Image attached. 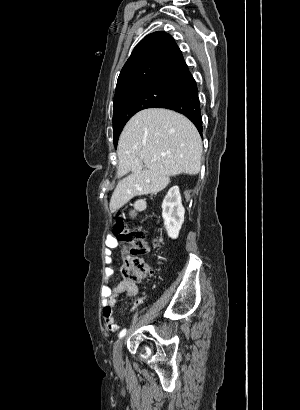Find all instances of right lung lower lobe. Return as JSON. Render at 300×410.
Returning a JSON list of instances; mask_svg holds the SVG:
<instances>
[{
  "instance_id": "98d812e1",
  "label": "right lung lower lobe",
  "mask_w": 300,
  "mask_h": 410,
  "mask_svg": "<svg viewBox=\"0 0 300 410\" xmlns=\"http://www.w3.org/2000/svg\"><path fill=\"white\" fill-rule=\"evenodd\" d=\"M161 108H167L182 113L193 122L200 134L202 133L200 101L198 98L197 85L193 78L177 97L162 105Z\"/></svg>"
}]
</instances>
